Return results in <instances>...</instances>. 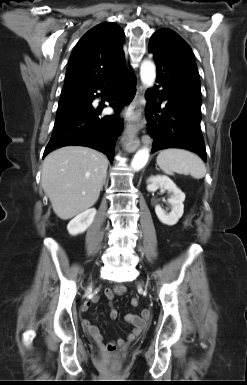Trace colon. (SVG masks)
<instances>
[{"mask_svg": "<svg viewBox=\"0 0 247 385\" xmlns=\"http://www.w3.org/2000/svg\"><path fill=\"white\" fill-rule=\"evenodd\" d=\"M190 220H191V216H188L186 221H185V224L187 226L190 224ZM138 304H139V301L137 299H132V301H131V305L132 306L136 307V306H138ZM107 350L114 351L115 350V346L112 345V344H109L108 347H107Z\"/></svg>", "mask_w": 247, "mask_h": 385, "instance_id": "5ec220e1", "label": "colon"}]
</instances>
